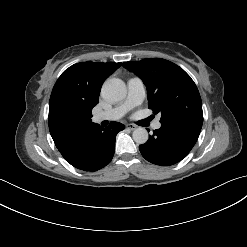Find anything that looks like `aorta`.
<instances>
[{
    "instance_id": "762f6f07",
    "label": "aorta",
    "mask_w": 247,
    "mask_h": 247,
    "mask_svg": "<svg viewBox=\"0 0 247 247\" xmlns=\"http://www.w3.org/2000/svg\"><path fill=\"white\" fill-rule=\"evenodd\" d=\"M127 88L125 83L119 78L107 79L102 86L103 97L111 102H118L125 98ZM133 140L137 144H144L148 141V132L145 128H137L132 133Z\"/></svg>"
}]
</instances>
